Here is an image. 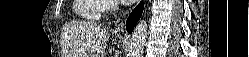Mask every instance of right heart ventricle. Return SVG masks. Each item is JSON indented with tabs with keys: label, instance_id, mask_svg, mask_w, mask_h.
I'll return each mask as SVG.
<instances>
[{
	"label": "right heart ventricle",
	"instance_id": "e07e8e85",
	"mask_svg": "<svg viewBox=\"0 0 249 57\" xmlns=\"http://www.w3.org/2000/svg\"><path fill=\"white\" fill-rule=\"evenodd\" d=\"M74 11L86 20H98L103 11V2L101 0H76Z\"/></svg>",
	"mask_w": 249,
	"mask_h": 57
}]
</instances>
